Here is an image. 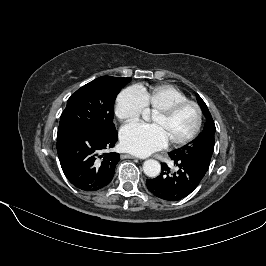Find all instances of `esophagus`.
<instances>
[{
  "label": "esophagus",
  "mask_w": 266,
  "mask_h": 266,
  "mask_svg": "<svg viewBox=\"0 0 266 266\" xmlns=\"http://www.w3.org/2000/svg\"><path fill=\"white\" fill-rule=\"evenodd\" d=\"M125 158H130V159H135L137 157L133 156V155H130V154H125L124 155Z\"/></svg>",
  "instance_id": "1"
}]
</instances>
